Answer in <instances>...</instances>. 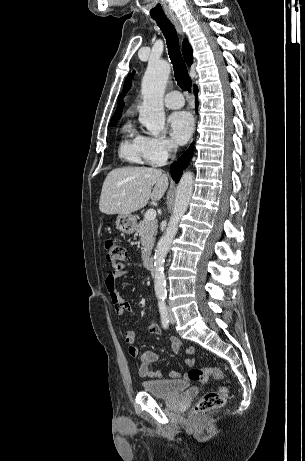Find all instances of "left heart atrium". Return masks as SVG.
I'll use <instances>...</instances> for the list:
<instances>
[{"mask_svg": "<svg viewBox=\"0 0 305 461\" xmlns=\"http://www.w3.org/2000/svg\"><path fill=\"white\" fill-rule=\"evenodd\" d=\"M170 133L173 139L179 143L184 144L190 138L193 131V118L186 111H177L170 115L168 119Z\"/></svg>", "mask_w": 305, "mask_h": 461, "instance_id": "1", "label": "left heart atrium"}]
</instances>
